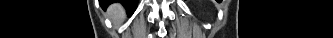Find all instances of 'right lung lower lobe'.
Segmentation results:
<instances>
[{"instance_id":"obj_1","label":"right lung lower lobe","mask_w":333,"mask_h":38,"mask_svg":"<svg viewBox=\"0 0 333 38\" xmlns=\"http://www.w3.org/2000/svg\"><path fill=\"white\" fill-rule=\"evenodd\" d=\"M121 3L125 4L126 8L128 11L131 10V8L134 7V5L137 3V1L133 0H119ZM114 1H105V2H100L102 5L107 6L108 4L112 3Z\"/></svg>"}]
</instances>
